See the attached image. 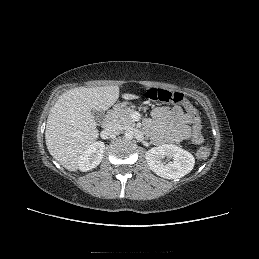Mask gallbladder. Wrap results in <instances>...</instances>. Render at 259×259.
Here are the masks:
<instances>
[{
	"mask_svg": "<svg viewBox=\"0 0 259 259\" xmlns=\"http://www.w3.org/2000/svg\"><path fill=\"white\" fill-rule=\"evenodd\" d=\"M94 120L97 124H101L104 120V113L102 111H92Z\"/></svg>",
	"mask_w": 259,
	"mask_h": 259,
	"instance_id": "gallbladder-1",
	"label": "gallbladder"
}]
</instances>
